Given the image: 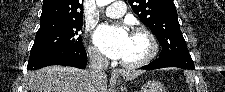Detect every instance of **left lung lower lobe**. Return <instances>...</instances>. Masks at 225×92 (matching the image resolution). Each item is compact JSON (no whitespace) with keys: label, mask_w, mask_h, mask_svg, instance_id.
<instances>
[{"label":"left lung lower lobe","mask_w":225,"mask_h":92,"mask_svg":"<svg viewBox=\"0 0 225 92\" xmlns=\"http://www.w3.org/2000/svg\"><path fill=\"white\" fill-rule=\"evenodd\" d=\"M165 67H178L182 69H191L193 70L194 63L191 57H178V58H158L149 63L148 65L142 67L141 69H159Z\"/></svg>","instance_id":"1"}]
</instances>
